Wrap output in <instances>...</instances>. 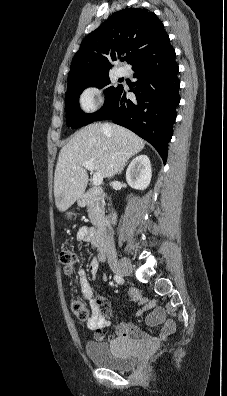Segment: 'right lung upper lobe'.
<instances>
[{
  "instance_id": "right-lung-upper-lobe-1",
  "label": "right lung upper lobe",
  "mask_w": 227,
  "mask_h": 396,
  "mask_svg": "<svg viewBox=\"0 0 227 396\" xmlns=\"http://www.w3.org/2000/svg\"><path fill=\"white\" fill-rule=\"evenodd\" d=\"M169 41L155 13L141 8L115 12L82 41L72 60L67 89L109 74L110 60L126 55L127 63L132 65L146 52Z\"/></svg>"
}]
</instances>
